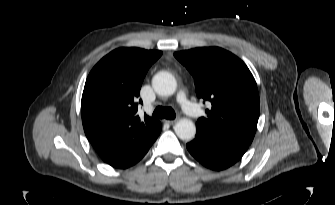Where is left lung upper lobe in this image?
Wrapping results in <instances>:
<instances>
[{"label": "left lung upper lobe", "instance_id": "5c2ea615", "mask_svg": "<svg viewBox=\"0 0 335 205\" xmlns=\"http://www.w3.org/2000/svg\"><path fill=\"white\" fill-rule=\"evenodd\" d=\"M174 56L194 77L197 97L211 103L196 129L250 145L260 106L257 84L245 63L218 47L180 51Z\"/></svg>", "mask_w": 335, "mask_h": 205}]
</instances>
